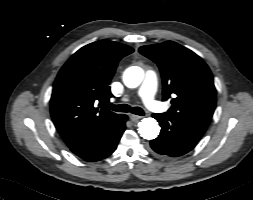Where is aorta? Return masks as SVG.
Returning a JSON list of instances; mask_svg holds the SVG:
<instances>
[{
    "mask_svg": "<svg viewBox=\"0 0 253 200\" xmlns=\"http://www.w3.org/2000/svg\"><path fill=\"white\" fill-rule=\"evenodd\" d=\"M143 77L144 71L140 67L133 66L125 71L123 81L127 87L135 88L142 82ZM138 127L140 136L147 140L155 139L160 132L158 122L151 117L143 118Z\"/></svg>",
    "mask_w": 253,
    "mask_h": 200,
    "instance_id": "obj_1",
    "label": "aorta"
}]
</instances>
